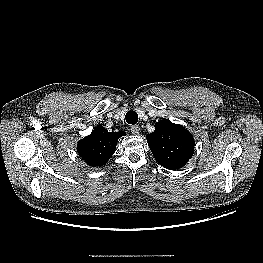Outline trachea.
Here are the masks:
<instances>
[{
  "instance_id": "trachea-1",
  "label": "trachea",
  "mask_w": 263,
  "mask_h": 263,
  "mask_svg": "<svg viewBox=\"0 0 263 263\" xmlns=\"http://www.w3.org/2000/svg\"><path fill=\"white\" fill-rule=\"evenodd\" d=\"M126 122L135 125L138 121V114L135 111H129L125 115Z\"/></svg>"
}]
</instances>
